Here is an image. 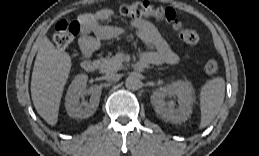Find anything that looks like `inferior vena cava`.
Here are the masks:
<instances>
[{"label":"inferior vena cava","mask_w":259,"mask_h":156,"mask_svg":"<svg viewBox=\"0 0 259 156\" xmlns=\"http://www.w3.org/2000/svg\"><path fill=\"white\" fill-rule=\"evenodd\" d=\"M119 75L117 73H108L105 75V79L109 81H116L118 79Z\"/></svg>","instance_id":"1"}]
</instances>
